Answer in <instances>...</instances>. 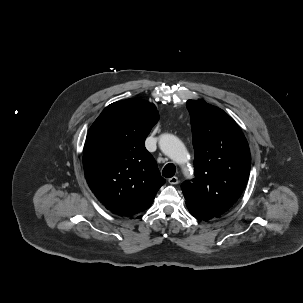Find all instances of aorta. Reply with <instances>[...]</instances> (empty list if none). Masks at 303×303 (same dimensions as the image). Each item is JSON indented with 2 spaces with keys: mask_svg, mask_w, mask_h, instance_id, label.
Listing matches in <instances>:
<instances>
[{
  "mask_svg": "<svg viewBox=\"0 0 303 303\" xmlns=\"http://www.w3.org/2000/svg\"><path fill=\"white\" fill-rule=\"evenodd\" d=\"M159 146L162 152L180 163L186 155V150L182 142L174 135L164 134L159 140Z\"/></svg>",
  "mask_w": 303,
  "mask_h": 303,
  "instance_id": "obj_1",
  "label": "aorta"
}]
</instances>
